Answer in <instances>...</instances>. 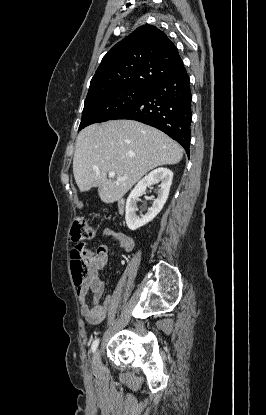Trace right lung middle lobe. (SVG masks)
Segmentation results:
<instances>
[{
    "mask_svg": "<svg viewBox=\"0 0 266 415\" xmlns=\"http://www.w3.org/2000/svg\"><path fill=\"white\" fill-rule=\"evenodd\" d=\"M149 89L119 87L87 96L79 130L110 120L115 114L142 100Z\"/></svg>",
    "mask_w": 266,
    "mask_h": 415,
    "instance_id": "dd1d6c3e",
    "label": "right lung middle lobe"
}]
</instances>
